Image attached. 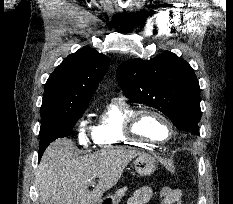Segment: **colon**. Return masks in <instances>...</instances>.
Listing matches in <instances>:
<instances>
[{
    "mask_svg": "<svg viewBox=\"0 0 233 204\" xmlns=\"http://www.w3.org/2000/svg\"><path fill=\"white\" fill-rule=\"evenodd\" d=\"M161 204H179L180 194L177 189L165 187L161 192Z\"/></svg>",
    "mask_w": 233,
    "mask_h": 204,
    "instance_id": "obj_1",
    "label": "colon"
}]
</instances>
